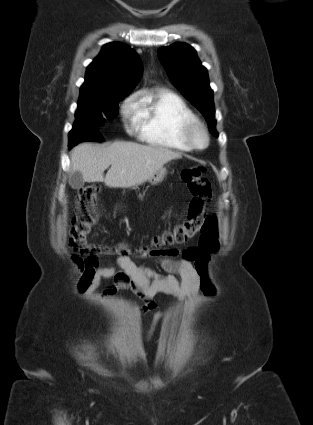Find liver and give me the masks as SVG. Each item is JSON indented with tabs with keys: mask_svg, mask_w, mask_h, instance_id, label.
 <instances>
[{
	"mask_svg": "<svg viewBox=\"0 0 313 425\" xmlns=\"http://www.w3.org/2000/svg\"><path fill=\"white\" fill-rule=\"evenodd\" d=\"M181 157L167 148L133 142H114L109 146L82 143L72 151L71 173L80 172L88 183L130 188L148 180L168 161Z\"/></svg>",
	"mask_w": 313,
	"mask_h": 425,
	"instance_id": "liver-1",
	"label": "liver"
}]
</instances>
